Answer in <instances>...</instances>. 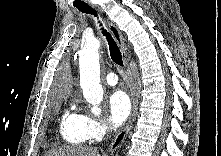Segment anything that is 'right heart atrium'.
<instances>
[{"instance_id": "1", "label": "right heart atrium", "mask_w": 221, "mask_h": 156, "mask_svg": "<svg viewBox=\"0 0 221 156\" xmlns=\"http://www.w3.org/2000/svg\"><path fill=\"white\" fill-rule=\"evenodd\" d=\"M81 122L82 132L87 141H98L110 130L108 121L89 113L78 114Z\"/></svg>"}]
</instances>
